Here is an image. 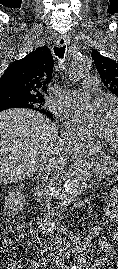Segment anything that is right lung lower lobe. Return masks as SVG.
<instances>
[{"label": "right lung lower lobe", "mask_w": 118, "mask_h": 269, "mask_svg": "<svg viewBox=\"0 0 118 269\" xmlns=\"http://www.w3.org/2000/svg\"><path fill=\"white\" fill-rule=\"evenodd\" d=\"M15 107H20V106H3V107H0V111L6 110L9 108H15Z\"/></svg>", "instance_id": "98d812e1"}]
</instances>
